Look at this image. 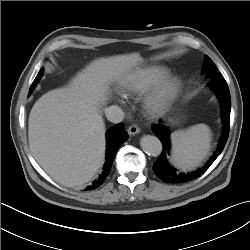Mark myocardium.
<instances>
[{
  "mask_svg": "<svg viewBox=\"0 0 250 250\" xmlns=\"http://www.w3.org/2000/svg\"><path fill=\"white\" fill-rule=\"evenodd\" d=\"M182 83L177 77H166L156 83L144 100L146 113L157 117L167 111L181 91Z\"/></svg>",
  "mask_w": 250,
  "mask_h": 250,
  "instance_id": "myocardium-1",
  "label": "myocardium"
}]
</instances>
